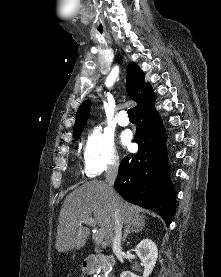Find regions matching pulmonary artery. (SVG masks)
Here are the masks:
<instances>
[{"label":"pulmonary artery","mask_w":221,"mask_h":277,"mask_svg":"<svg viewBox=\"0 0 221 277\" xmlns=\"http://www.w3.org/2000/svg\"><path fill=\"white\" fill-rule=\"evenodd\" d=\"M117 122L120 126H128L129 119L127 118V114L125 111H120L117 116Z\"/></svg>","instance_id":"pulmonary-artery-1"}]
</instances>
